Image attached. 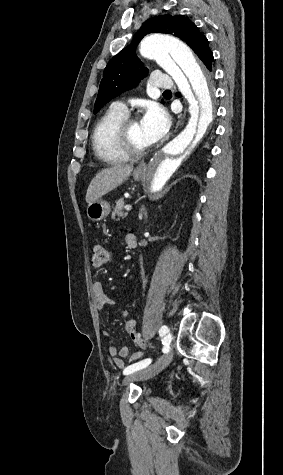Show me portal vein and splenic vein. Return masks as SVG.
I'll return each mask as SVG.
<instances>
[{
    "instance_id": "18ae733b",
    "label": "portal vein and splenic vein",
    "mask_w": 283,
    "mask_h": 475,
    "mask_svg": "<svg viewBox=\"0 0 283 475\" xmlns=\"http://www.w3.org/2000/svg\"><path fill=\"white\" fill-rule=\"evenodd\" d=\"M125 210H132V206H124Z\"/></svg>"
}]
</instances>
